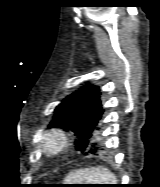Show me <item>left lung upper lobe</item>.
Wrapping results in <instances>:
<instances>
[{"instance_id":"1","label":"left lung upper lobe","mask_w":160,"mask_h":187,"mask_svg":"<svg viewBox=\"0 0 160 187\" xmlns=\"http://www.w3.org/2000/svg\"><path fill=\"white\" fill-rule=\"evenodd\" d=\"M99 87L86 84L61 101L49 127L72 130L77 136L76 148L91 147V137L103 113Z\"/></svg>"}]
</instances>
